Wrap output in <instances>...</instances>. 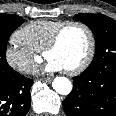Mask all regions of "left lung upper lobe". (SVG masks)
<instances>
[{
    "label": "left lung upper lobe",
    "instance_id": "1",
    "mask_svg": "<svg viewBox=\"0 0 116 116\" xmlns=\"http://www.w3.org/2000/svg\"><path fill=\"white\" fill-rule=\"evenodd\" d=\"M74 19L92 30L96 42L95 57L84 72L91 73L104 68L116 69V21L99 13H79Z\"/></svg>",
    "mask_w": 116,
    "mask_h": 116
}]
</instances>
